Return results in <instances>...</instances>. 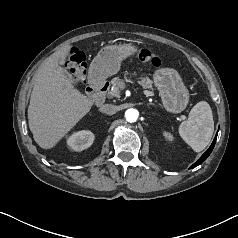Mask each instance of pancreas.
I'll return each mask as SVG.
<instances>
[{"instance_id":"pancreas-1","label":"pancreas","mask_w":238,"mask_h":238,"mask_svg":"<svg viewBox=\"0 0 238 238\" xmlns=\"http://www.w3.org/2000/svg\"><path fill=\"white\" fill-rule=\"evenodd\" d=\"M111 84L112 88L108 91V96L120 98L121 90L124 89L125 83L119 77H114L111 80ZM139 84L143 88L152 90L153 93V82L151 79H149V77H141V81H139Z\"/></svg>"}]
</instances>
